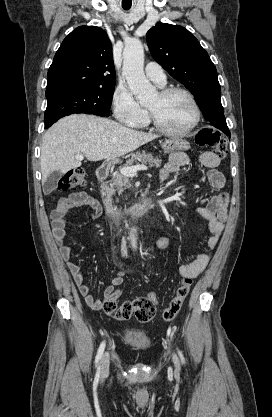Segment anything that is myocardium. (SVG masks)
Segmentation results:
<instances>
[{"instance_id": "myocardium-1", "label": "myocardium", "mask_w": 272, "mask_h": 417, "mask_svg": "<svg viewBox=\"0 0 272 417\" xmlns=\"http://www.w3.org/2000/svg\"><path fill=\"white\" fill-rule=\"evenodd\" d=\"M160 96L162 98L170 97L174 94H182L185 95L189 101L191 102L193 109H194V119L193 122L185 129L183 130H171L169 128H166L163 126L160 121L158 120L157 116L153 111L148 109L147 115H148V121L149 123L159 132L169 135V136H185L189 133H191L200 123L201 120V108L196 100L195 96L187 89L181 88V87H169L165 88L160 91Z\"/></svg>"}]
</instances>
